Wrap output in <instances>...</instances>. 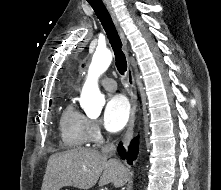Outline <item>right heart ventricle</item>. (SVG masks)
<instances>
[{
    "label": "right heart ventricle",
    "instance_id": "1",
    "mask_svg": "<svg viewBox=\"0 0 221 190\" xmlns=\"http://www.w3.org/2000/svg\"><path fill=\"white\" fill-rule=\"evenodd\" d=\"M87 117L69 103L60 118V136L68 148H83L88 143Z\"/></svg>",
    "mask_w": 221,
    "mask_h": 190
}]
</instances>
